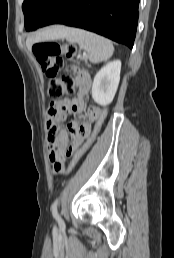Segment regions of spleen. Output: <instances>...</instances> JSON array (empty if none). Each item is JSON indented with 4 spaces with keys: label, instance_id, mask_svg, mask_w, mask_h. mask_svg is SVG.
<instances>
[{
    "label": "spleen",
    "instance_id": "1",
    "mask_svg": "<svg viewBox=\"0 0 174 258\" xmlns=\"http://www.w3.org/2000/svg\"><path fill=\"white\" fill-rule=\"evenodd\" d=\"M61 37L70 43H77L88 53V58L93 63L109 59L114 51L110 40L83 29L63 27Z\"/></svg>",
    "mask_w": 174,
    "mask_h": 258
}]
</instances>
